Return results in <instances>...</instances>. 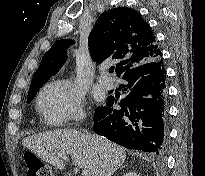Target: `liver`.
<instances>
[{
	"instance_id": "1",
	"label": "liver",
	"mask_w": 205,
	"mask_h": 176,
	"mask_svg": "<svg viewBox=\"0 0 205 176\" xmlns=\"http://www.w3.org/2000/svg\"><path fill=\"white\" fill-rule=\"evenodd\" d=\"M24 147L57 169H64L57 152L68 154L74 165L86 169L91 176H111L126 159V150L98 135L77 130L48 131L22 140Z\"/></svg>"
}]
</instances>
